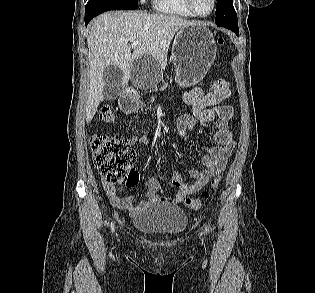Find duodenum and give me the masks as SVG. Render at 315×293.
<instances>
[{"label":"duodenum","instance_id":"obj_1","mask_svg":"<svg viewBox=\"0 0 315 293\" xmlns=\"http://www.w3.org/2000/svg\"><path fill=\"white\" fill-rule=\"evenodd\" d=\"M126 92H133V90L129 89V90H127Z\"/></svg>","mask_w":315,"mask_h":293}]
</instances>
